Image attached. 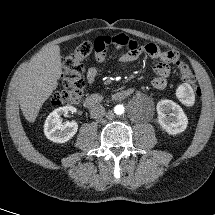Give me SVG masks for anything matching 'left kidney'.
<instances>
[{"label": "left kidney", "mask_w": 215, "mask_h": 215, "mask_svg": "<svg viewBox=\"0 0 215 215\" xmlns=\"http://www.w3.org/2000/svg\"><path fill=\"white\" fill-rule=\"evenodd\" d=\"M158 123L171 135L182 133L188 125V118L183 109L172 100H161L157 103Z\"/></svg>", "instance_id": "1"}]
</instances>
